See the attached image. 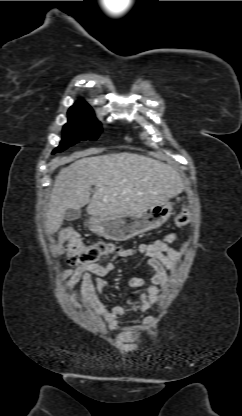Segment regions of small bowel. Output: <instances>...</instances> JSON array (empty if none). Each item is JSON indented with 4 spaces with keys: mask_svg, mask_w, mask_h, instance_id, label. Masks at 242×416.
<instances>
[{
    "mask_svg": "<svg viewBox=\"0 0 242 416\" xmlns=\"http://www.w3.org/2000/svg\"><path fill=\"white\" fill-rule=\"evenodd\" d=\"M178 240L177 234L170 233L161 240L141 244L137 249L119 250L106 264L69 266L61 274L60 282L64 284L66 293L80 284L84 306L95 309L104 318L110 330L117 332L116 336L119 342H131L138 336L139 331L122 327L119 318L125 313L123 306L108 308L103 303L101 300L105 289L103 278L115 270L116 260L131 257L137 253L145 254L147 256L146 263L153 270L151 284L146 286V281L143 278L134 277L130 279L129 285L133 288L146 287L140 296L137 310L142 313L148 311L159 300L161 292L166 289L169 274L177 270L183 259L186 250L185 244H182L179 249L169 246L170 243ZM143 322L149 324L150 319L146 317Z\"/></svg>",
    "mask_w": 242,
    "mask_h": 416,
    "instance_id": "c3829d8e",
    "label": "small bowel"
}]
</instances>
